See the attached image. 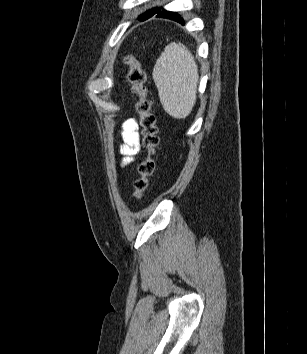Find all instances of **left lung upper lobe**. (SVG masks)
Returning a JSON list of instances; mask_svg holds the SVG:
<instances>
[{
	"instance_id": "5c2ea615",
	"label": "left lung upper lobe",
	"mask_w": 307,
	"mask_h": 354,
	"mask_svg": "<svg viewBox=\"0 0 307 354\" xmlns=\"http://www.w3.org/2000/svg\"><path fill=\"white\" fill-rule=\"evenodd\" d=\"M161 9L160 8H154L152 10H149L147 12H145L144 14L139 16V20H144L152 15H154L155 13L159 12Z\"/></svg>"
}]
</instances>
